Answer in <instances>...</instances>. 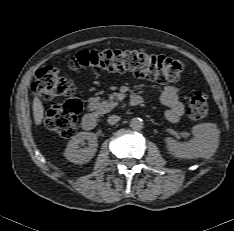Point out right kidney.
Here are the masks:
<instances>
[{
    "label": "right kidney",
    "instance_id": "right-kidney-1",
    "mask_svg": "<svg viewBox=\"0 0 234 231\" xmlns=\"http://www.w3.org/2000/svg\"><path fill=\"white\" fill-rule=\"evenodd\" d=\"M85 140L88 142V147L80 148ZM97 146V136L94 133L80 132L68 142L64 156L74 164L88 163L94 157Z\"/></svg>",
    "mask_w": 234,
    "mask_h": 231
}]
</instances>
